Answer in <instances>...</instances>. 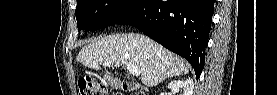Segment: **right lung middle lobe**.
<instances>
[{"instance_id":"dd1d6c3e","label":"right lung middle lobe","mask_w":277,"mask_h":95,"mask_svg":"<svg viewBox=\"0 0 277 95\" xmlns=\"http://www.w3.org/2000/svg\"><path fill=\"white\" fill-rule=\"evenodd\" d=\"M140 0H79L75 15L80 30H98L116 24Z\"/></svg>"}]
</instances>
